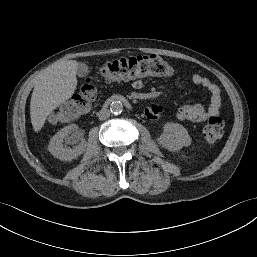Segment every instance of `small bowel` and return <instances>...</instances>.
Instances as JSON below:
<instances>
[{"label": "small bowel", "mask_w": 257, "mask_h": 257, "mask_svg": "<svg viewBox=\"0 0 257 257\" xmlns=\"http://www.w3.org/2000/svg\"><path fill=\"white\" fill-rule=\"evenodd\" d=\"M188 82L205 88L209 93L207 105L202 103L185 104L173 110L174 116L181 121L202 122L211 116H217L221 110V95L218 86L210 79L200 74L193 73L188 77ZM142 81L133 83L134 88H140ZM165 112V108L153 105L145 110V115L152 120L159 119Z\"/></svg>", "instance_id": "obj_1"}]
</instances>
